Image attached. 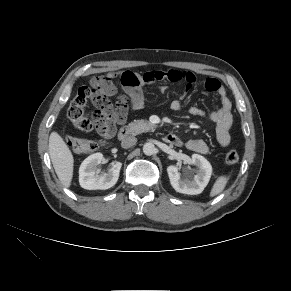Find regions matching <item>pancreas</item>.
Listing matches in <instances>:
<instances>
[{"label": "pancreas", "instance_id": "cf45deb5", "mask_svg": "<svg viewBox=\"0 0 291 291\" xmlns=\"http://www.w3.org/2000/svg\"><path fill=\"white\" fill-rule=\"evenodd\" d=\"M155 126L147 120H134L129 123L127 128L132 135H138L153 129Z\"/></svg>", "mask_w": 291, "mask_h": 291}]
</instances>
